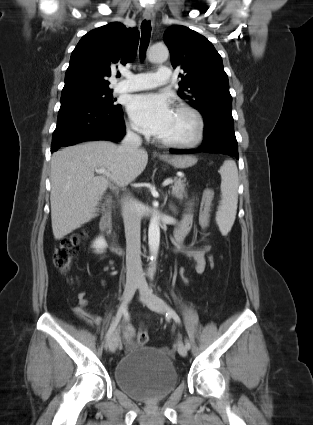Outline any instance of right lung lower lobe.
I'll return each mask as SVG.
<instances>
[{"label": "right lung lower lobe", "instance_id": "98d812e1", "mask_svg": "<svg viewBox=\"0 0 313 425\" xmlns=\"http://www.w3.org/2000/svg\"><path fill=\"white\" fill-rule=\"evenodd\" d=\"M125 134L122 108H108L79 97L61 98L51 152L82 141H120Z\"/></svg>", "mask_w": 313, "mask_h": 425}]
</instances>
